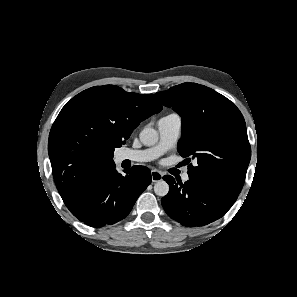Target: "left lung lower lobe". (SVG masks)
Instances as JSON below:
<instances>
[{"label":"left lung lower lobe","instance_id":"left-lung-lower-lobe-1","mask_svg":"<svg viewBox=\"0 0 297 297\" xmlns=\"http://www.w3.org/2000/svg\"><path fill=\"white\" fill-rule=\"evenodd\" d=\"M163 179L169 192L161 200L166 213L184 226H204L226 214L234 204L212 189L189 179L177 182L170 175Z\"/></svg>","mask_w":297,"mask_h":297}]
</instances>
